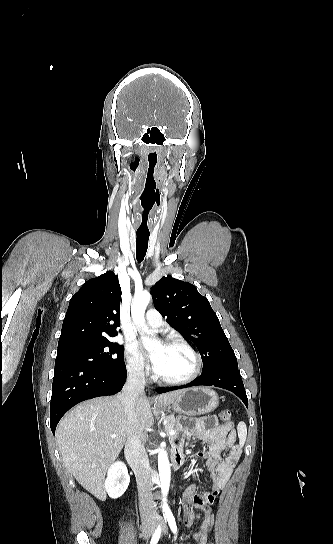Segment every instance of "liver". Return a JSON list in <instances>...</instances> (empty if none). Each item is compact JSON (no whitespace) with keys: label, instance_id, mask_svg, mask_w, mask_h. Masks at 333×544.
I'll list each match as a JSON object with an SVG mask.
<instances>
[{"label":"liver","instance_id":"6515ba94","mask_svg":"<svg viewBox=\"0 0 333 544\" xmlns=\"http://www.w3.org/2000/svg\"><path fill=\"white\" fill-rule=\"evenodd\" d=\"M183 390L161 394L156 407L172 404ZM150 400L144 395L136 399L135 423L132 424L122 403L121 394L82 402L68 412L58 424L56 438L68 470L88 492L104 500L105 473L109 463L121 452L133 431L141 432L154 424ZM116 435L115 438L111 435Z\"/></svg>","mask_w":333,"mask_h":544}]
</instances>
